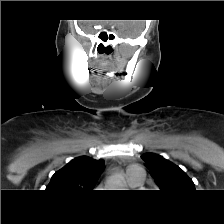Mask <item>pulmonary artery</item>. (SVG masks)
<instances>
[{"mask_svg": "<svg viewBox=\"0 0 224 224\" xmlns=\"http://www.w3.org/2000/svg\"><path fill=\"white\" fill-rule=\"evenodd\" d=\"M143 172L137 167H130L127 169V181L132 186H140L143 183Z\"/></svg>", "mask_w": 224, "mask_h": 224, "instance_id": "e3ab8cb5", "label": "pulmonary artery"}]
</instances>
